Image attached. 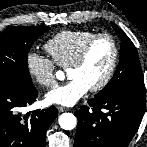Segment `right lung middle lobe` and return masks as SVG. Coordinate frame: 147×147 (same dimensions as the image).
I'll use <instances>...</instances> for the list:
<instances>
[{"label": "right lung middle lobe", "instance_id": "1", "mask_svg": "<svg viewBox=\"0 0 147 147\" xmlns=\"http://www.w3.org/2000/svg\"><path fill=\"white\" fill-rule=\"evenodd\" d=\"M49 27L13 26L0 34V86L15 89L33 87L27 66L28 52Z\"/></svg>", "mask_w": 147, "mask_h": 147}]
</instances>
